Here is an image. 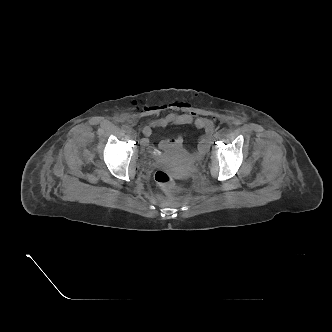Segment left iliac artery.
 <instances>
[{
	"instance_id": "left-iliac-artery-1",
	"label": "left iliac artery",
	"mask_w": 332,
	"mask_h": 332,
	"mask_svg": "<svg viewBox=\"0 0 332 332\" xmlns=\"http://www.w3.org/2000/svg\"><path fill=\"white\" fill-rule=\"evenodd\" d=\"M219 133H220V135H225V130L224 129H221L220 131H219Z\"/></svg>"
}]
</instances>
